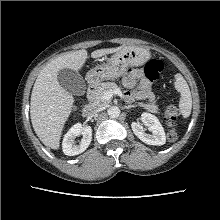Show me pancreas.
<instances>
[{
    "mask_svg": "<svg viewBox=\"0 0 220 220\" xmlns=\"http://www.w3.org/2000/svg\"><path fill=\"white\" fill-rule=\"evenodd\" d=\"M114 89H119L117 84L114 82L101 83L99 87L94 91L93 95L91 96V102L93 107H99V108L106 107L110 101L104 99V94L105 92ZM138 105L152 113H158L159 110L158 106L153 103H138Z\"/></svg>",
    "mask_w": 220,
    "mask_h": 220,
    "instance_id": "obj_1",
    "label": "pancreas"
}]
</instances>
